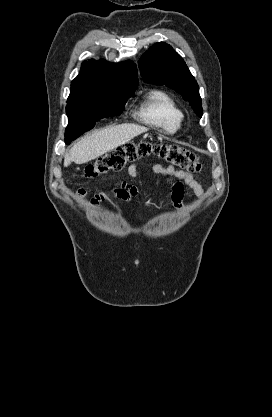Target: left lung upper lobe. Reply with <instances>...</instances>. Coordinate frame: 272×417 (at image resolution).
Masks as SVG:
<instances>
[{
	"label": "left lung upper lobe",
	"mask_w": 272,
	"mask_h": 417,
	"mask_svg": "<svg viewBox=\"0 0 272 417\" xmlns=\"http://www.w3.org/2000/svg\"><path fill=\"white\" fill-rule=\"evenodd\" d=\"M140 73L147 83L166 85L180 93L196 114H203L199 87L182 57L168 44L160 42L140 58Z\"/></svg>",
	"instance_id": "5c2ea615"
}]
</instances>
